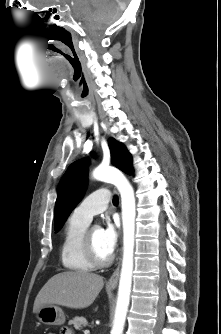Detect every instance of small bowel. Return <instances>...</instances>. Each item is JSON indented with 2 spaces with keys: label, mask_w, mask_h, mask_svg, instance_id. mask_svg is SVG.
Wrapping results in <instances>:
<instances>
[{
  "label": "small bowel",
  "mask_w": 221,
  "mask_h": 334,
  "mask_svg": "<svg viewBox=\"0 0 221 334\" xmlns=\"http://www.w3.org/2000/svg\"><path fill=\"white\" fill-rule=\"evenodd\" d=\"M63 334H71L69 331H64Z\"/></svg>",
  "instance_id": "obj_1"
}]
</instances>
